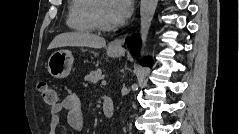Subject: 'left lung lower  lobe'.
I'll list each match as a JSON object with an SVG mask.
<instances>
[{"label": "left lung lower lobe", "instance_id": "left-lung-lower-lobe-1", "mask_svg": "<svg viewBox=\"0 0 239 134\" xmlns=\"http://www.w3.org/2000/svg\"><path fill=\"white\" fill-rule=\"evenodd\" d=\"M128 43V48L134 56H137V53L140 48V39L138 36H132L131 39L126 41ZM143 66H152V61L150 59L142 61Z\"/></svg>", "mask_w": 239, "mask_h": 134}]
</instances>
